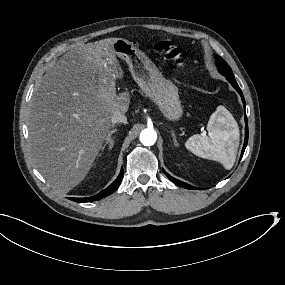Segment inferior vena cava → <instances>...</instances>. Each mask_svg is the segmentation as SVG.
Returning <instances> with one entry per match:
<instances>
[{
	"label": "inferior vena cava",
	"mask_w": 285,
	"mask_h": 285,
	"mask_svg": "<svg viewBox=\"0 0 285 285\" xmlns=\"http://www.w3.org/2000/svg\"><path fill=\"white\" fill-rule=\"evenodd\" d=\"M111 122H112V125L114 126V125H116V123L126 124L127 120H126V117L124 116V114H122L121 112H115L112 115Z\"/></svg>",
	"instance_id": "inferior-vena-cava-1"
}]
</instances>
